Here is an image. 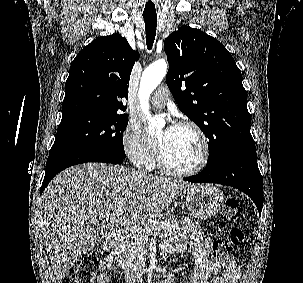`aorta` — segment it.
Wrapping results in <instances>:
<instances>
[{
    "label": "aorta",
    "mask_w": 303,
    "mask_h": 283,
    "mask_svg": "<svg viewBox=\"0 0 303 283\" xmlns=\"http://www.w3.org/2000/svg\"><path fill=\"white\" fill-rule=\"evenodd\" d=\"M167 63L164 60H159L148 66L141 77L138 97L140 100V108L148 121V133L154 134L160 127L164 125V121L159 117H152L149 112V98L151 93L163 80L167 73Z\"/></svg>",
    "instance_id": "obj_1"
}]
</instances>
